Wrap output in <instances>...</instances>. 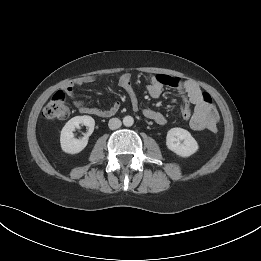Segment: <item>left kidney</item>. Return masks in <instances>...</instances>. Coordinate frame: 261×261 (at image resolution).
Returning a JSON list of instances; mask_svg holds the SVG:
<instances>
[{
  "label": "left kidney",
  "instance_id": "1",
  "mask_svg": "<svg viewBox=\"0 0 261 261\" xmlns=\"http://www.w3.org/2000/svg\"><path fill=\"white\" fill-rule=\"evenodd\" d=\"M181 141H183L181 143ZM166 145L169 150L181 157L196 153L199 146L191 134L182 128H172L167 132Z\"/></svg>",
  "mask_w": 261,
  "mask_h": 261
}]
</instances>
